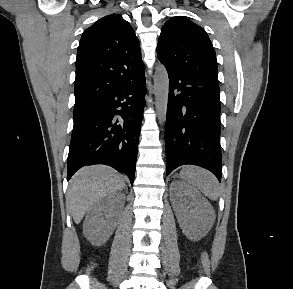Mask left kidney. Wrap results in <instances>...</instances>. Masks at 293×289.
<instances>
[{"mask_svg":"<svg viewBox=\"0 0 293 289\" xmlns=\"http://www.w3.org/2000/svg\"><path fill=\"white\" fill-rule=\"evenodd\" d=\"M170 189L172 206L183 233L190 239H200L213 223V207L197 190L182 181L172 182ZM189 200L193 207L191 212L186 207Z\"/></svg>","mask_w":293,"mask_h":289,"instance_id":"1","label":"left kidney"}]
</instances>
